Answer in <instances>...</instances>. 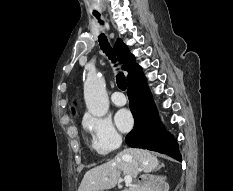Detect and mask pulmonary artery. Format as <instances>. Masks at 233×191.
I'll return each instance as SVG.
<instances>
[{"instance_id":"pulmonary-artery-1","label":"pulmonary artery","mask_w":233,"mask_h":191,"mask_svg":"<svg viewBox=\"0 0 233 191\" xmlns=\"http://www.w3.org/2000/svg\"><path fill=\"white\" fill-rule=\"evenodd\" d=\"M111 100L117 106H123L127 102L125 95L120 91L113 92L111 95Z\"/></svg>"}]
</instances>
